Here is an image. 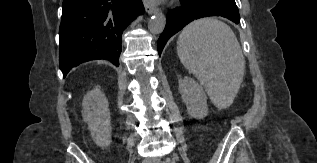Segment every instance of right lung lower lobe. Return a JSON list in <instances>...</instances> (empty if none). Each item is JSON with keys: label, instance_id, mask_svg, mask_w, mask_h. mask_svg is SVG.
<instances>
[{"label": "right lung lower lobe", "instance_id": "98d812e1", "mask_svg": "<svg viewBox=\"0 0 317 163\" xmlns=\"http://www.w3.org/2000/svg\"><path fill=\"white\" fill-rule=\"evenodd\" d=\"M143 12L140 0H64L59 30L63 77L90 60L106 59L119 66L122 33Z\"/></svg>", "mask_w": 317, "mask_h": 163}]
</instances>
